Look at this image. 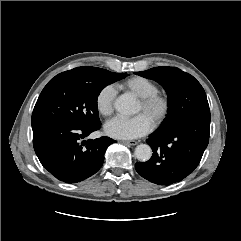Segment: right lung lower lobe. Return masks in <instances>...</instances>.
<instances>
[{
  "label": "right lung lower lobe",
  "mask_w": 241,
  "mask_h": 241,
  "mask_svg": "<svg viewBox=\"0 0 241 241\" xmlns=\"http://www.w3.org/2000/svg\"><path fill=\"white\" fill-rule=\"evenodd\" d=\"M101 125V124H100ZM65 122L33 125V145L43 167L65 183H76L95 174L102 166L109 137L82 139L100 129Z\"/></svg>",
  "instance_id": "1"
}]
</instances>
